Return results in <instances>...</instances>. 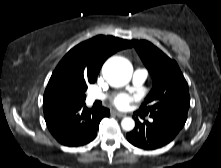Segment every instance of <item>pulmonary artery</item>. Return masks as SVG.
Masks as SVG:
<instances>
[{
	"mask_svg": "<svg viewBox=\"0 0 221 168\" xmlns=\"http://www.w3.org/2000/svg\"><path fill=\"white\" fill-rule=\"evenodd\" d=\"M146 78H147V71L145 69L138 68L135 70V72L133 74V84L135 86H140L144 83ZM105 97H106L105 94L98 93V92H92L89 94V100L91 102L96 101V100H103V99H105Z\"/></svg>",
	"mask_w": 221,
	"mask_h": 168,
	"instance_id": "pulmonary-artery-1",
	"label": "pulmonary artery"
}]
</instances>
